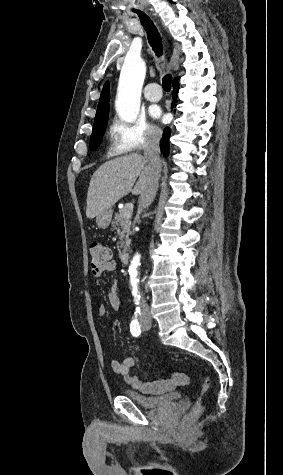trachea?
Here are the masks:
<instances>
[{
    "mask_svg": "<svg viewBox=\"0 0 283 475\" xmlns=\"http://www.w3.org/2000/svg\"><path fill=\"white\" fill-rule=\"evenodd\" d=\"M137 15L140 18V21L146 30L148 41L150 46L152 47L153 51L157 55V57H160L162 55V41L159 32L157 31V28L153 24L152 20L146 15V13L140 12L137 13ZM171 83H172V75H165L162 79V87L165 90V92H170L171 89Z\"/></svg>",
    "mask_w": 283,
    "mask_h": 475,
    "instance_id": "obj_1",
    "label": "trachea"
}]
</instances>
